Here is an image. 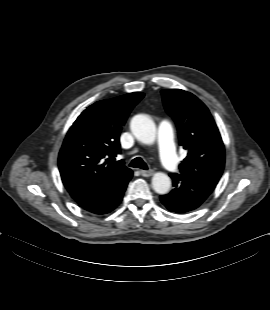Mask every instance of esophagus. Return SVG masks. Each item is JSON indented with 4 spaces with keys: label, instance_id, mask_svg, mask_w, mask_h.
<instances>
[{
    "label": "esophagus",
    "instance_id": "esophagus-1",
    "mask_svg": "<svg viewBox=\"0 0 270 310\" xmlns=\"http://www.w3.org/2000/svg\"><path fill=\"white\" fill-rule=\"evenodd\" d=\"M140 173L144 177H150L154 174V171L153 170H141Z\"/></svg>",
    "mask_w": 270,
    "mask_h": 310
}]
</instances>
